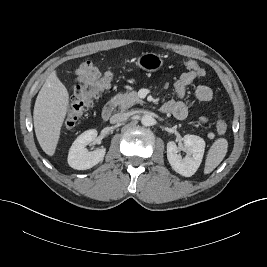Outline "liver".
Instances as JSON below:
<instances>
[{
	"instance_id": "1",
	"label": "liver",
	"mask_w": 267,
	"mask_h": 267,
	"mask_svg": "<svg viewBox=\"0 0 267 267\" xmlns=\"http://www.w3.org/2000/svg\"><path fill=\"white\" fill-rule=\"evenodd\" d=\"M68 104V90L58 78L56 71H53L39 91L33 111L37 140L49 156L55 153Z\"/></svg>"
}]
</instances>
